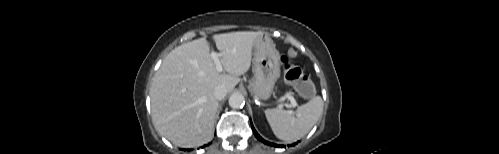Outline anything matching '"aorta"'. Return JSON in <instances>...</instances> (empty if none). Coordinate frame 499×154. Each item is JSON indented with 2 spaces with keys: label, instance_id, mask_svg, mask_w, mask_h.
Returning <instances> with one entry per match:
<instances>
[{
  "label": "aorta",
  "instance_id": "762f6f07",
  "mask_svg": "<svg viewBox=\"0 0 499 154\" xmlns=\"http://www.w3.org/2000/svg\"><path fill=\"white\" fill-rule=\"evenodd\" d=\"M228 102L231 108L238 109L244 106L245 99L241 93L236 92L229 97Z\"/></svg>",
  "mask_w": 499,
  "mask_h": 154
}]
</instances>
